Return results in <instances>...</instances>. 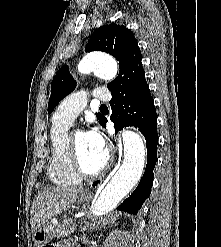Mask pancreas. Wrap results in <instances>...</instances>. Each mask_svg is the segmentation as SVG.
<instances>
[{"label": "pancreas", "mask_w": 221, "mask_h": 247, "mask_svg": "<svg viewBox=\"0 0 221 247\" xmlns=\"http://www.w3.org/2000/svg\"><path fill=\"white\" fill-rule=\"evenodd\" d=\"M53 232L56 237H67L76 230V226L71 219H65L52 225Z\"/></svg>", "instance_id": "1"}]
</instances>
